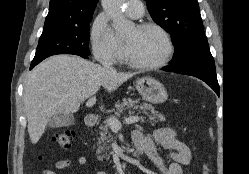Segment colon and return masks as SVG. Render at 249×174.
I'll list each match as a JSON object with an SVG mask.
<instances>
[{
    "instance_id": "obj_1",
    "label": "colon",
    "mask_w": 249,
    "mask_h": 174,
    "mask_svg": "<svg viewBox=\"0 0 249 174\" xmlns=\"http://www.w3.org/2000/svg\"><path fill=\"white\" fill-rule=\"evenodd\" d=\"M74 139V132L71 129H63L56 133L53 137L54 142L62 149H67L71 146ZM203 174H209V167H203Z\"/></svg>"
}]
</instances>
